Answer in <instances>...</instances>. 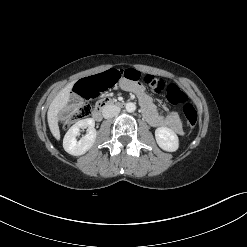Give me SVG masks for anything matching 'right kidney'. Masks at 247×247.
Here are the masks:
<instances>
[{
	"label": "right kidney",
	"mask_w": 247,
	"mask_h": 247,
	"mask_svg": "<svg viewBox=\"0 0 247 247\" xmlns=\"http://www.w3.org/2000/svg\"><path fill=\"white\" fill-rule=\"evenodd\" d=\"M94 126L95 121L92 118L77 121L64 136V150L74 156L85 154L92 147L96 139L97 132ZM82 127H87L88 133L80 140H77L76 137L79 135L80 128Z\"/></svg>",
	"instance_id": "right-kidney-1"
}]
</instances>
